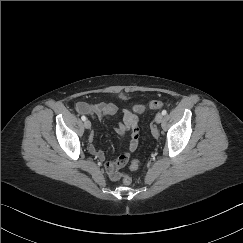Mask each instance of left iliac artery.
I'll return each instance as SVG.
<instances>
[{
  "mask_svg": "<svg viewBox=\"0 0 243 243\" xmlns=\"http://www.w3.org/2000/svg\"><path fill=\"white\" fill-rule=\"evenodd\" d=\"M167 114V111L166 110H163L162 111V115H166Z\"/></svg>",
  "mask_w": 243,
  "mask_h": 243,
  "instance_id": "44dca946",
  "label": "left iliac artery"
}]
</instances>
